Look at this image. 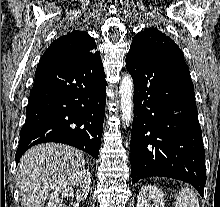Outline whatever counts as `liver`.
<instances>
[{
  "mask_svg": "<svg viewBox=\"0 0 220 207\" xmlns=\"http://www.w3.org/2000/svg\"><path fill=\"white\" fill-rule=\"evenodd\" d=\"M84 165L83 154L70 146L46 143L30 148L16 172L21 206L44 207L50 191Z\"/></svg>",
  "mask_w": 220,
  "mask_h": 207,
  "instance_id": "obj_1",
  "label": "liver"
}]
</instances>
